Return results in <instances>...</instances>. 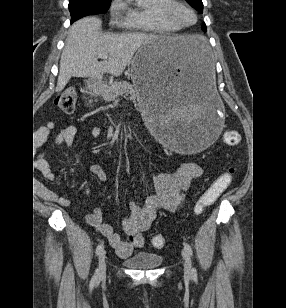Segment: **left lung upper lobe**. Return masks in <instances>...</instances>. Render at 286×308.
I'll use <instances>...</instances> for the list:
<instances>
[{
	"instance_id": "left-lung-upper-lobe-1",
	"label": "left lung upper lobe",
	"mask_w": 286,
	"mask_h": 308,
	"mask_svg": "<svg viewBox=\"0 0 286 308\" xmlns=\"http://www.w3.org/2000/svg\"><path fill=\"white\" fill-rule=\"evenodd\" d=\"M192 7H194L199 12H203V3L202 0H186ZM202 29L206 32L205 24L202 25Z\"/></svg>"
}]
</instances>
